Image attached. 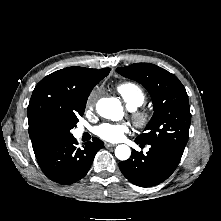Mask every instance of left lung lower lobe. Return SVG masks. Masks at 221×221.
I'll use <instances>...</instances> for the list:
<instances>
[{"label": "left lung lower lobe", "instance_id": "left-lung-lower-lobe-1", "mask_svg": "<svg viewBox=\"0 0 221 221\" xmlns=\"http://www.w3.org/2000/svg\"><path fill=\"white\" fill-rule=\"evenodd\" d=\"M135 142L143 144L137 139ZM150 145L146 155L133 150L128 160L119 163L123 175L137 186L151 187L165 181L174 172L183 154L163 145Z\"/></svg>", "mask_w": 221, "mask_h": 221}]
</instances>
